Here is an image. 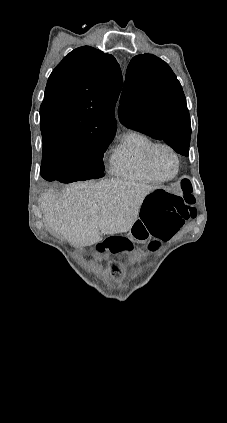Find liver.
<instances>
[{
    "label": "liver",
    "instance_id": "obj_1",
    "mask_svg": "<svg viewBox=\"0 0 227 423\" xmlns=\"http://www.w3.org/2000/svg\"><path fill=\"white\" fill-rule=\"evenodd\" d=\"M159 186L127 180L70 184L63 194L46 192L43 221L71 245H93L102 235L129 231L144 198Z\"/></svg>",
    "mask_w": 227,
    "mask_h": 423
}]
</instances>
